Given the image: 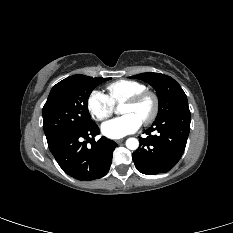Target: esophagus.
I'll return each mask as SVG.
<instances>
[{
    "label": "esophagus",
    "mask_w": 233,
    "mask_h": 233,
    "mask_svg": "<svg viewBox=\"0 0 233 233\" xmlns=\"http://www.w3.org/2000/svg\"><path fill=\"white\" fill-rule=\"evenodd\" d=\"M124 141V139H118L116 140V143L121 144Z\"/></svg>",
    "instance_id": "1"
}]
</instances>
